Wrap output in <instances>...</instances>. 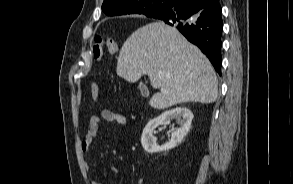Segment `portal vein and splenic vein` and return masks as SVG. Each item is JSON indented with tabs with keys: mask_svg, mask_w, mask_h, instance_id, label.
I'll return each mask as SVG.
<instances>
[{
	"mask_svg": "<svg viewBox=\"0 0 293 184\" xmlns=\"http://www.w3.org/2000/svg\"><path fill=\"white\" fill-rule=\"evenodd\" d=\"M161 92H163V93H166L167 91H166V90H164V89H162V90H161Z\"/></svg>",
	"mask_w": 293,
	"mask_h": 184,
	"instance_id": "obj_1",
	"label": "portal vein and splenic vein"
}]
</instances>
